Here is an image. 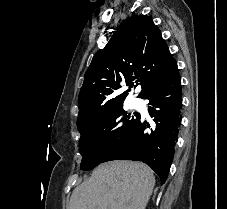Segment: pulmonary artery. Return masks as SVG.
Returning a JSON list of instances; mask_svg holds the SVG:
<instances>
[{
  "label": "pulmonary artery",
  "mask_w": 227,
  "mask_h": 209,
  "mask_svg": "<svg viewBox=\"0 0 227 209\" xmlns=\"http://www.w3.org/2000/svg\"><path fill=\"white\" fill-rule=\"evenodd\" d=\"M132 95H135V92H132ZM142 101L141 97L132 98L131 102L133 105L137 106Z\"/></svg>",
  "instance_id": "pulmonary-artery-1"
}]
</instances>
